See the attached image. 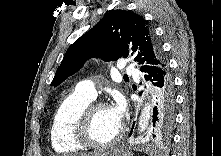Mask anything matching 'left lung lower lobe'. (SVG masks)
<instances>
[{"instance_id": "0a47b994", "label": "left lung lower lobe", "mask_w": 221, "mask_h": 156, "mask_svg": "<svg viewBox=\"0 0 221 156\" xmlns=\"http://www.w3.org/2000/svg\"><path fill=\"white\" fill-rule=\"evenodd\" d=\"M142 72L145 73L144 77L151 85L149 90L152 103L151 124L147 140L150 142L164 141L170 138L175 119L173 77L166 62Z\"/></svg>"}]
</instances>
